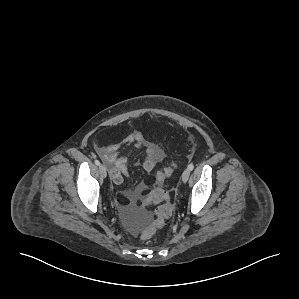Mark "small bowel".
I'll use <instances>...</instances> for the list:
<instances>
[{
  "instance_id": "1",
  "label": "small bowel",
  "mask_w": 299,
  "mask_h": 299,
  "mask_svg": "<svg viewBox=\"0 0 299 299\" xmlns=\"http://www.w3.org/2000/svg\"><path fill=\"white\" fill-rule=\"evenodd\" d=\"M122 146L143 148L145 150V158L141 165L147 172H152L156 165L164 159L162 148L147 139L139 130L130 133L120 144L99 146V156L109 166L110 177L116 185H123V177L128 175V159L126 156L119 154V149ZM146 191L147 187L144 184H140L134 191H123L122 194L127 199V203L121 205L120 210L127 219H130L138 212L136 201L139 198H145Z\"/></svg>"
}]
</instances>
